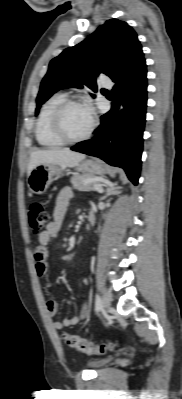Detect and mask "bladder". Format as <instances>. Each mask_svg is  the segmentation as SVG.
I'll list each match as a JSON object with an SVG mask.
<instances>
[{"label": "bladder", "mask_w": 182, "mask_h": 399, "mask_svg": "<svg viewBox=\"0 0 182 399\" xmlns=\"http://www.w3.org/2000/svg\"><path fill=\"white\" fill-rule=\"evenodd\" d=\"M111 361L110 358H103L91 361L89 364L92 368L99 369L107 365Z\"/></svg>", "instance_id": "bladder-1"}]
</instances>
